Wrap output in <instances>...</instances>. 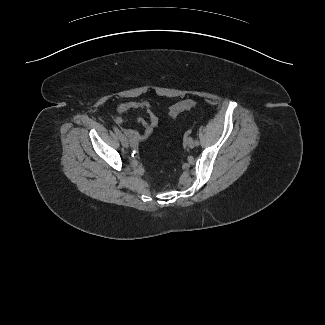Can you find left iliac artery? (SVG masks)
Wrapping results in <instances>:
<instances>
[{"mask_svg": "<svg viewBox=\"0 0 325 325\" xmlns=\"http://www.w3.org/2000/svg\"><path fill=\"white\" fill-rule=\"evenodd\" d=\"M195 145L198 146L199 145V141L195 140Z\"/></svg>", "mask_w": 325, "mask_h": 325, "instance_id": "1", "label": "left iliac artery"}]
</instances>
